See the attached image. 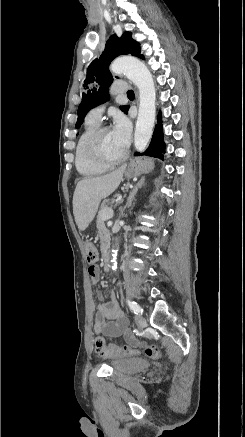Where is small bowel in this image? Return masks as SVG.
<instances>
[{
  "instance_id": "1",
  "label": "small bowel",
  "mask_w": 245,
  "mask_h": 437,
  "mask_svg": "<svg viewBox=\"0 0 245 437\" xmlns=\"http://www.w3.org/2000/svg\"><path fill=\"white\" fill-rule=\"evenodd\" d=\"M89 274L92 283L97 285L100 280L98 267H95V270ZM93 329L95 333L103 334L109 338L124 336L130 344H139L138 340L130 332L128 320L113 293H111L108 302L100 300L97 305Z\"/></svg>"
}]
</instances>
